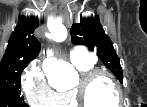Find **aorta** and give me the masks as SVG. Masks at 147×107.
<instances>
[{
    "label": "aorta",
    "mask_w": 147,
    "mask_h": 107,
    "mask_svg": "<svg viewBox=\"0 0 147 107\" xmlns=\"http://www.w3.org/2000/svg\"><path fill=\"white\" fill-rule=\"evenodd\" d=\"M67 32L63 33L66 38ZM43 70L49 80V84L54 88L68 87L77 77L74 67L63 60H57L52 52L47 55L43 61Z\"/></svg>",
    "instance_id": "1"
}]
</instances>
